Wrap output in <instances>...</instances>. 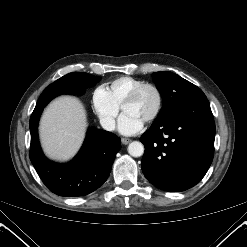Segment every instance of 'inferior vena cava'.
<instances>
[{"instance_id":"1","label":"inferior vena cava","mask_w":247,"mask_h":247,"mask_svg":"<svg viewBox=\"0 0 247 247\" xmlns=\"http://www.w3.org/2000/svg\"><path fill=\"white\" fill-rule=\"evenodd\" d=\"M100 124L107 131H113L115 129V120L112 117L100 118Z\"/></svg>"}]
</instances>
